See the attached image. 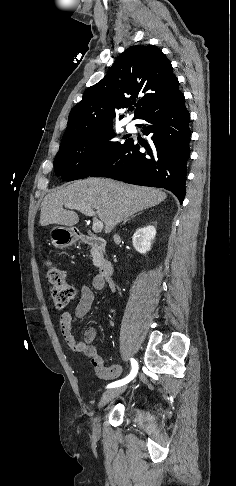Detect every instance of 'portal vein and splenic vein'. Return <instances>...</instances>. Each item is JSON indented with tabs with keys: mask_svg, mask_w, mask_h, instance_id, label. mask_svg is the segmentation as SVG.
I'll use <instances>...</instances> for the list:
<instances>
[{
	"mask_svg": "<svg viewBox=\"0 0 236 486\" xmlns=\"http://www.w3.org/2000/svg\"><path fill=\"white\" fill-rule=\"evenodd\" d=\"M66 208L72 209L71 206H65ZM81 213L87 215V216H95V212L93 211L92 208H77ZM104 225L103 222L98 220L96 217L93 219V225H92V230L95 233H99L102 231Z\"/></svg>",
	"mask_w": 236,
	"mask_h": 486,
	"instance_id": "obj_1",
	"label": "portal vein and splenic vein"
}]
</instances>
